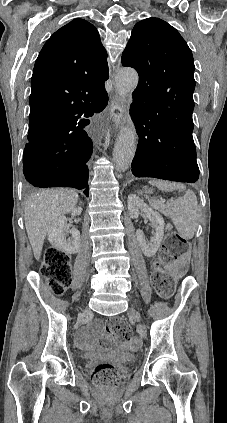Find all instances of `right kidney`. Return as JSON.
<instances>
[{
	"instance_id": "obj_1",
	"label": "right kidney",
	"mask_w": 227,
	"mask_h": 423,
	"mask_svg": "<svg viewBox=\"0 0 227 423\" xmlns=\"http://www.w3.org/2000/svg\"><path fill=\"white\" fill-rule=\"evenodd\" d=\"M72 215H80L82 208H74ZM66 233H71V237H66ZM48 239L53 247L66 251V253H77L80 245V231L77 227L69 229L67 217L59 215L57 221L52 223L48 229Z\"/></svg>"
}]
</instances>
